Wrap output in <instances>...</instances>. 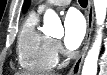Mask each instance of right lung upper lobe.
<instances>
[{
  "instance_id": "cb5924a9",
  "label": "right lung upper lobe",
  "mask_w": 107,
  "mask_h": 75,
  "mask_svg": "<svg viewBox=\"0 0 107 75\" xmlns=\"http://www.w3.org/2000/svg\"><path fill=\"white\" fill-rule=\"evenodd\" d=\"M30 2H31L30 0H25L24 6H23V13H25L26 10L28 9Z\"/></svg>"
}]
</instances>
